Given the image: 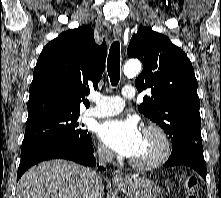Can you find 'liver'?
I'll return each instance as SVG.
<instances>
[{"instance_id":"1","label":"liver","mask_w":221,"mask_h":198,"mask_svg":"<svg viewBox=\"0 0 221 198\" xmlns=\"http://www.w3.org/2000/svg\"><path fill=\"white\" fill-rule=\"evenodd\" d=\"M89 168L66 160L31 167L19 180L16 198H102L103 183H89Z\"/></svg>"}]
</instances>
